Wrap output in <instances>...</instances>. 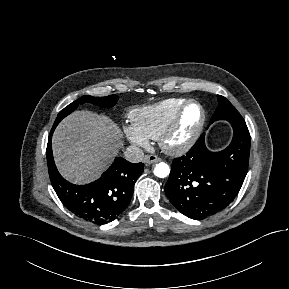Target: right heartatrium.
<instances>
[{"instance_id": "right-heart-atrium-1", "label": "right heart atrium", "mask_w": 289, "mask_h": 289, "mask_svg": "<svg viewBox=\"0 0 289 289\" xmlns=\"http://www.w3.org/2000/svg\"><path fill=\"white\" fill-rule=\"evenodd\" d=\"M126 138L137 147H146L149 144V138L144 135L133 123L124 126Z\"/></svg>"}]
</instances>
